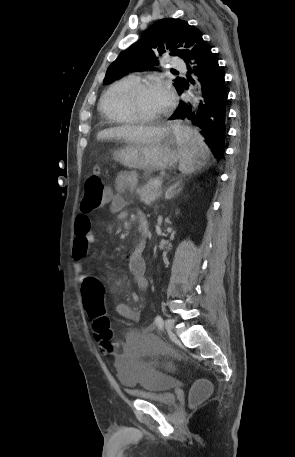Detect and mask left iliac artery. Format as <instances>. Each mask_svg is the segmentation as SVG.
Returning <instances> with one entry per match:
<instances>
[{
  "mask_svg": "<svg viewBox=\"0 0 295 457\" xmlns=\"http://www.w3.org/2000/svg\"><path fill=\"white\" fill-rule=\"evenodd\" d=\"M155 323L158 326L159 329L163 328V319L160 315L156 316L155 318Z\"/></svg>",
  "mask_w": 295,
  "mask_h": 457,
  "instance_id": "1",
  "label": "left iliac artery"
}]
</instances>
